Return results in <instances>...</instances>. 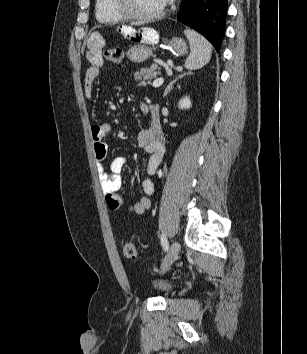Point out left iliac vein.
I'll return each instance as SVG.
<instances>
[{"label":"left iliac vein","mask_w":307,"mask_h":354,"mask_svg":"<svg viewBox=\"0 0 307 354\" xmlns=\"http://www.w3.org/2000/svg\"><path fill=\"white\" fill-rule=\"evenodd\" d=\"M180 251V244L174 241L162 263V271L168 270L178 257Z\"/></svg>","instance_id":"1"}]
</instances>
